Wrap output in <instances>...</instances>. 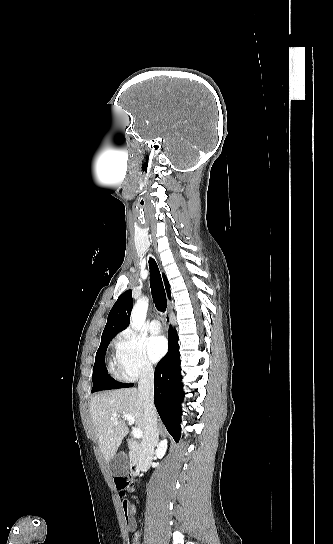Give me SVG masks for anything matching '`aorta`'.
Instances as JSON below:
<instances>
[{"label": "aorta", "mask_w": 333, "mask_h": 544, "mask_svg": "<svg viewBox=\"0 0 333 544\" xmlns=\"http://www.w3.org/2000/svg\"><path fill=\"white\" fill-rule=\"evenodd\" d=\"M148 310V299L142 298L139 299L133 307L131 313V326L135 330H139L146 319Z\"/></svg>", "instance_id": "obj_1"}]
</instances>
